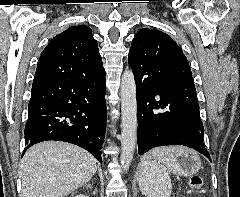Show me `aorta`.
<instances>
[{
    "label": "aorta",
    "instance_id": "aorta-1",
    "mask_svg": "<svg viewBox=\"0 0 240 197\" xmlns=\"http://www.w3.org/2000/svg\"><path fill=\"white\" fill-rule=\"evenodd\" d=\"M121 156L123 170H128L137 141L136 84L132 70L126 69L121 79Z\"/></svg>",
    "mask_w": 240,
    "mask_h": 197
}]
</instances>
